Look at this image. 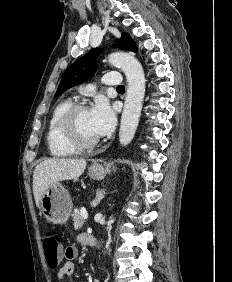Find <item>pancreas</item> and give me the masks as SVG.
I'll return each instance as SVG.
<instances>
[{
  "label": "pancreas",
  "instance_id": "cf45deb5",
  "mask_svg": "<svg viewBox=\"0 0 232 282\" xmlns=\"http://www.w3.org/2000/svg\"><path fill=\"white\" fill-rule=\"evenodd\" d=\"M72 217H73V226H74V229H80L83 225H84V219L83 217L80 215L79 212H74L72 214Z\"/></svg>",
  "mask_w": 232,
  "mask_h": 282
}]
</instances>
